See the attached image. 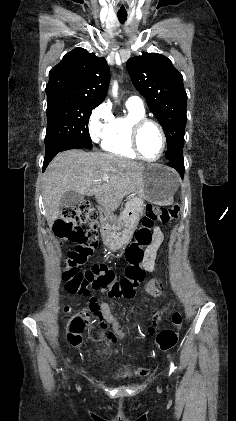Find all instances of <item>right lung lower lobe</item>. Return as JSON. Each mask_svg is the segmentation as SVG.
I'll return each instance as SVG.
<instances>
[{
  "mask_svg": "<svg viewBox=\"0 0 236 421\" xmlns=\"http://www.w3.org/2000/svg\"><path fill=\"white\" fill-rule=\"evenodd\" d=\"M82 148L78 144L72 142H62L60 144L55 145L52 149L46 151L44 164H43V171L46 169L50 161L61 151L69 150V149H76Z\"/></svg>",
  "mask_w": 236,
  "mask_h": 421,
  "instance_id": "right-lung-lower-lobe-1",
  "label": "right lung lower lobe"
}]
</instances>
